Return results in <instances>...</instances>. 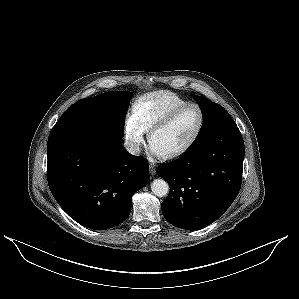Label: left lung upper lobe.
<instances>
[{
	"instance_id": "left-lung-upper-lobe-1",
	"label": "left lung upper lobe",
	"mask_w": 299,
	"mask_h": 299,
	"mask_svg": "<svg viewBox=\"0 0 299 299\" xmlns=\"http://www.w3.org/2000/svg\"><path fill=\"white\" fill-rule=\"evenodd\" d=\"M194 100L201 108L204 115L203 124L200 132L192 146L202 143L206 137L218 130L227 122L233 120L230 114L219 104H216L209 99L194 95Z\"/></svg>"
}]
</instances>
